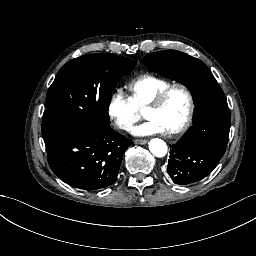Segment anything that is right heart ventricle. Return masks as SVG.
<instances>
[{"mask_svg":"<svg viewBox=\"0 0 256 256\" xmlns=\"http://www.w3.org/2000/svg\"><path fill=\"white\" fill-rule=\"evenodd\" d=\"M167 88L166 85L152 82L148 78L141 79L133 90L136 109L140 112L145 111Z\"/></svg>","mask_w":256,"mask_h":256,"instance_id":"obj_1","label":"right heart ventricle"}]
</instances>
